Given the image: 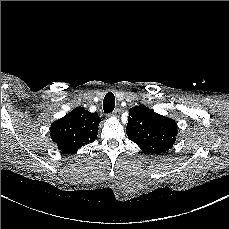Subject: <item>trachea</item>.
<instances>
[{
	"label": "trachea",
	"instance_id": "1",
	"mask_svg": "<svg viewBox=\"0 0 229 229\" xmlns=\"http://www.w3.org/2000/svg\"><path fill=\"white\" fill-rule=\"evenodd\" d=\"M115 107V97L112 92H108L103 100V110L105 113L113 112Z\"/></svg>",
	"mask_w": 229,
	"mask_h": 229
}]
</instances>
